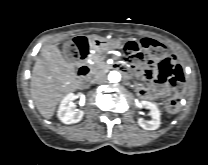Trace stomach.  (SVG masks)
I'll return each instance as SVG.
<instances>
[{
  "label": "stomach",
  "mask_w": 208,
  "mask_h": 165,
  "mask_svg": "<svg viewBox=\"0 0 208 165\" xmlns=\"http://www.w3.org/2000/svg\"><path fill=\"white\" fill-rule=\"evenodd\" d=\"M89 46L92 50L102 53L120 47V39H107L98 36L88 37Z\"/></svg>",
  "instance_id": "obj_1"
}]
</instances>
